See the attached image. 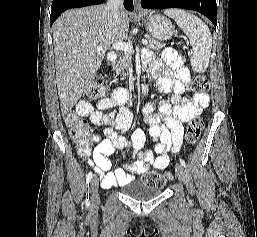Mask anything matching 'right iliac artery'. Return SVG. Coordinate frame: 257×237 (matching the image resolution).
Returning a JSON list of instances; mask_svg holds the SVG:
<instances>
[{"label":"right iliac artery","instance_id":"right-iliac-artery-1","mask_svg":"<svg viewBox=\"0 0 257 237\" xmlns=\"http://www.w3.org/2000/svg\"><path fill=\"white\" fill-rule=\"evenodd\" d=\"M93 177V173L92 172H89L88 175H87V178H86V188H89V182L91 181ZM86 205L88 206L90 204L89 202V193L86 192V201H85Z\"/></svg>","mask_w":257,"mask_h":237}]
</instances>
